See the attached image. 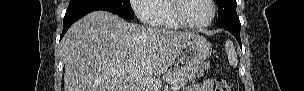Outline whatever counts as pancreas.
<instances>
[{
  "instance_id": "pancreas-1",
  "label": "pancreas",
  "mask_w": 304,
  "mask_h": 91,
  "mask_svg": "<svg viewBox=\"0 0 304 91\" xmlns=\"http://www.w3.org/2000/svg\"><path fill=\"white\" fill-rule=\"evenodd\" d=\"M204 69L207 67H179L175 66L171 70H169L165 77L166 79L173 85L178 88H182L186 85V83L192 81L196 76L201 77L204 74ZM149 90V89H148ZM151 91H155L154 89H150Z\"/></svg>"
}]
</instances>
